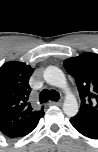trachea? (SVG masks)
<instances>
[{
	"instance_id": "3493384b",
	"label": "trachea",
	"mask_w": 98,
	"mask_h": 152,
	"mask_svg": "<svg viewBox=\"0 0 98 152\" xmlns=\"http://www.w3.org/2000/svg\"><path fill=\"white\" fill-rule=\"evenodd\" d=\"M60 99V94L56 90L44 89L40 92L39 101L40 103H45L49 100L58 101Z\"/></svg>"
}]
</instances>
